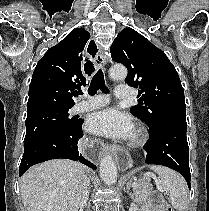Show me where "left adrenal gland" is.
Wrapping results in <instances>:
<instances>
[{
  "label": "left adrenal gland",
  "instance_id": "obj_1",
  "mask_svg": "<svg viewBox=\"0 0 209 211\" xmlns=\"http://www.w3.org/2000/svg\"><path fill=\"white\" fill-rule=\"evenodd\" d=\"M130 188H131V182H127L126 184V189H127V193L132 196V193H130Z\"/></svg>",
  "mask_w": 209,
  "mask_h": 211
}]
</instances>
